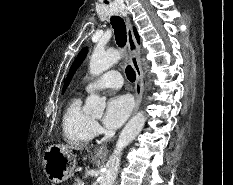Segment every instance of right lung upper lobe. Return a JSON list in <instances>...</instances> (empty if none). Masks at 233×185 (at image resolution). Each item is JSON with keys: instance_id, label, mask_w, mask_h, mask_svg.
<instances>
[{"instance_id": "cb5924a9", "label": "right lung upper lobe", "mask_w": 233, "mask_h": 185, "mask_svg": "<svg viewBox=\"0 0 233 185\" xmlns=\"http://www.w3.org/2000/svg\"><path fill=\"white\" fill-rule=\"evenodd\" d=\"M134 33H135V36H136V38H137V41L139 42V36H138V34H137L135 28H134Z\"/></svg>"}]
</instances>
